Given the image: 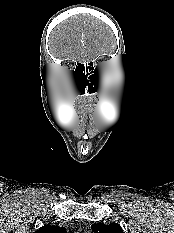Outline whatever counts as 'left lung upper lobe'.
Wrapping results in <instances>:
<instances>
[{
	"label": "left lung upper lobe",
	"instance_id": "left-lung-upper-lobe-1",
	"mask_svg": "<svg viewBox=\"0 0 174 233\" xmlns=\"http://www.w3.org/2000/svg\"><path fill=\"white\" fill-rule=\"evenodd\" d=\"M91 229L94 233H124L117 223H110L109 225L94 223L91 225Z\"/></svg>",
	"mask_w": 174,
	"mask_h": 233
}]
</instances>
